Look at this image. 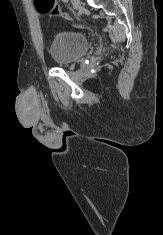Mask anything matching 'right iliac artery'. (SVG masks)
<instances>
[{
	"label": "right iliac artery",
	"mask_w": 163,
	"mask_h": 235,
	"mask_svg": "<svg viewBox=\"0 0 163 235\" xmlns=\"http://www.w3.org/2000/svg\"><path fill=\"white\" fill-rule=\"evenodd\" d=\"M64 3H67L69 0H62ZM72 1V3H73V6L76 8V6H75V4H74V2H73V0H71Z\"/></svg>",
	"instance_id": "82829eb1"
}]
</instances>
